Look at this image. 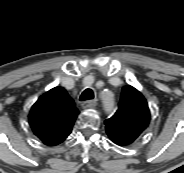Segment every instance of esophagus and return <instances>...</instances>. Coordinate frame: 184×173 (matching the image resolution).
Instances as JSON below:
<instances>
[{"label": "esophagus", "instance_id": "esophagus-1", "mask_svg": "<svg viewBox=\"0 0 184 173\" xmlns=\"http://www.w3.org/2000/svg\"><path fill=\"white\" fill-rule=\"evenodd\" d=\"M97 106V101L96 100H88V101H85L82 103V107L84 109H87V108H94Z\"/></svg>", "mask_w": 184, "mask_h": 173}]
</instances>
